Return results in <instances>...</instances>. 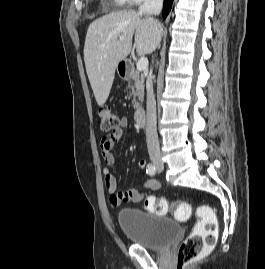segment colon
<instances>
[{
    "label": "colon",
    "instance_id": "obj_1",
    "mask_svg": "<svg viewBox=\"0 0 265 269\" xmlns=\"http://www.w3.org/2000/svg\"><path fill=\"white\" fill-rule=\"evenodd\" d=\"M98 116L103 131L115 132L120 128V120L110 108H100ZM145 205L150 212L160 215L172 210L174 217L179 221H186L191 215V206L186 201L170 204L164 197L149 196ZM198 214L199 222L179 247L177 269H185L216 242L218 221L214 211L209 207L201 206L198 208Z\"/></svg>",
    "mask_w": 265,
    "mask_h": 269
}]
</instances>
